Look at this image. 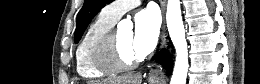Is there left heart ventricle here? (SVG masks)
<instances>
[{"label":"left heart ventricle","instance_id":"obj_1","mask_svg":"<svg viewBox=\"0 0 260 84\" xmlns=\"http://www.w3.org/2000/svg\"><path fill=\"white\" fill-rule=\"evenodd\" d=\"M116 39L120 55L124 60L129 61L137 58L132 46L133 33L131 31H117Z\"/></svg>","mask_w":260,"mask_h":84}]
</instances>
